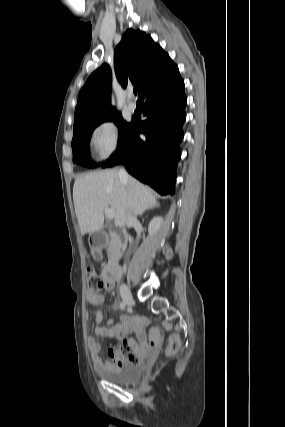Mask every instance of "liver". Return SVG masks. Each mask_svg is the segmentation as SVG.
<instances>
[{
	"label": "liver",
	"mask_w": 285,
	"mask_h": 427,
	"mask_svg": "<svg viewBox=\"0 0 285 427\" xmlns=\"http://www.w3.org/2000/svg\"><path fill=\"white\" fill-rule=\"evenodd\" d=\"M73 201L81 235H85L102 229L105 207L115 210V226L124 227L129 212L142 214L155 205L156 198L136 179L122 182L118 170L108 169L76 178Z\"/></svg>",
	"instance_id": "6515ba94"
}]
</instances>
